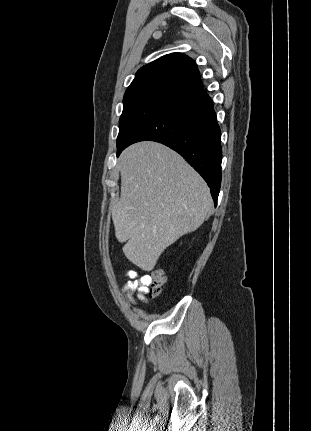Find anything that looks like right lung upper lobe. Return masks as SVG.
<instances>
[{
  "instance_id": "obj_1",
  "label": "right lung upper lobe",
  "mask_w": 311,
  "mask_h": 431,
  "mask_svg": "<svg viewBox=\"0 0 311 431\" xmlns=\"http://www.w3.org/2000/svg\"><path fill=\"white\" fill-rule=\"evenodd\" d=\"M158 89L180 97L203 89L195 62L181 53L165 55L141 67L125 93Z\"/></svg>"
}]
</instances>
